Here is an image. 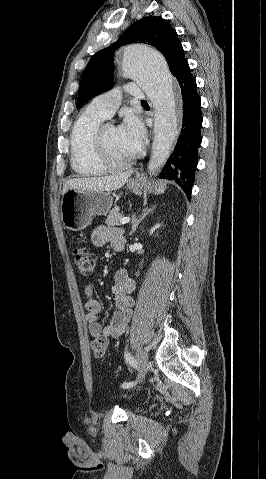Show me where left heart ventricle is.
<instances>
[{"mask_svg": "<svg viewBox=\"0 0 266 479\" xmlns=\"http://www.w3.org/2000/svg\"><path fill=\"white\" fill-rule=\"evenodd\" d=\"M104 136L108 153L113 160L121 162L130 158L122 145L117 128L113 126L105 127Z\"/></svg>", "mask_w": 266, "mask_h": 479, "instance_id": "obj_1", "label": "left heart ventricle"}]
</instances>
